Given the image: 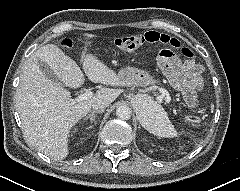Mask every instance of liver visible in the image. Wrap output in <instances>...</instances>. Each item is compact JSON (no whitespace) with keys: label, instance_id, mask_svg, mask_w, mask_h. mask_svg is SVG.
<instances>
[{"label":"liver","instance_id":"6515ba94","mask_svg":"<svg viewBox=\"0 0 240 191\" xmlns=\"http://www.w3.org/2000/svg\"><path fill=\"white\" fill-rule=\"evenodd\" d=\"M91 39L93 34H84ZM45 62L58 81L41 71L38 62ZM83 70L89 80L110 86H123L116 72L92 54H83ZM79 66L54 44H47L33 53L24 64L16 90V107L22 122L23 134L30 145L50 158L60 161L68 155V135L71 128L92 108L97 100L112 103L119 89L101 88L90 99L74 103L64 88L84 84Z\"/></svg>","mask_w":240,"mask_h":191}]
</instances>
